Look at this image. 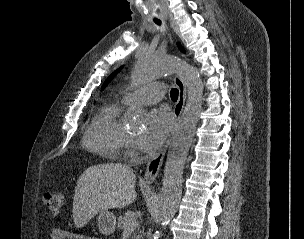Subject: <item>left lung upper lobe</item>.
Listing matches in <instances>:
<instances>
[{"mask_svg": "<svg viewBox=\"0 0 304 239\" xmlns=\"http://www.w3.org/2000/svg\"><path fill=\"white\" fill-rule=\"evenodd\" d=\"M119 69L116 70L115 72H113L108 78L107 80L105 81L104 85H103V88L113 79V77L118 73Z\"/></svg>", "mask_w": 304, "mask_h": 239, "instance_id": "obj_1", "label": "left lung upper lobe"}]
</instances>
